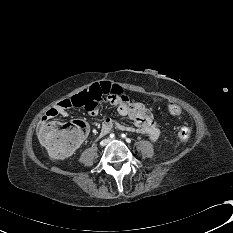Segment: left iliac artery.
<instances>
[{
	"label": "left iliac artery",
	"instance_id": "left-iliac-artery-1",
	"mask_svg": "<svg viewBox=\"0 0 233 233\" xmlns=\"http://www.w3.org/2000/svg\"><path fill=\"white\" fill-rule=\"evenodd\" d=\"M121 137H122V138H126V135H125V134H121ZM126 141H127L128 143H130V142H131V139H130V138H126Z\"/></svg>",
	"mask_w": 233,
	"mask_h": 233
}]
</instances>
